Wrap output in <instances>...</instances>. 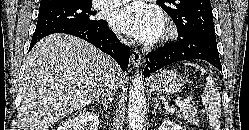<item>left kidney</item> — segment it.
I'll return each instance as SVG.
<instances>
[{
    "label": "left kidney",
    "mask_w": 249,
    "mask_h": 130,
    "mask_svg": "<svg viewBox=\"0 0 249 130\" xmlns=\"http://www.w3.org/2000/svg\"><path fill=\"white\" fill-rule=\"evenodd\" d=\"M158 130H183V128L171 120H165L162 122V124L159 126Z\"/></svg>",
    "instance_id": "1"
}]
</instances>
